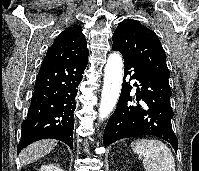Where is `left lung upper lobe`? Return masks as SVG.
<instances>
[{
    "instance_id": "left-lung-upper-lobe-1",
    "label": "left lung upper lobe",
    "mask_w": 199,
    "mask_h": 171,
    "mask_svg": "<svg viewBox=\"0 0 199 171\" xmlns=\"http://www.w3.org/2000/svg\"><path fill=\"white\" fill-rule=\"evenodd\" d=\"M112 48L120 51L125 58L133 61L141 69L169 83L170 72L159 39L139 21H122L113 34Z\"/></svg>"
}]
</instances>
